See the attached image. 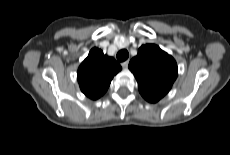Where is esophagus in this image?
Here are the masks:
<instances>
[{
  "label": "esophagus",
  "mask_w": 230,
  "mask_h": 155,
  "mask_svg": "<svg viewBox=\"0 0 230 155\" xmlns=\"http://www.w3.org/2000/svg\"><path fill=\"white\" fill-rule=\"evenodd\" d=\"M128 64H129L128 60L121 63V65H122L123 68H127Z\"/></svg>",
  "instance_id": "esophagus-1"
}]
</instances>
